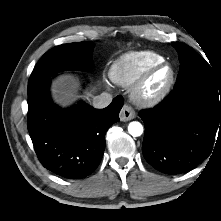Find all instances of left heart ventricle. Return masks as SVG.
Segmentation results:
<instances>
[{
	"label": "left heart ventricle",
	"instance_id": "b2bd125f",
	"mask_svg": "<svg viewBox=\"0 0 221 221\" xmlns=\"http://www.w3.org/2000/svg\"><path fill=\"white\" fill-rule=\"evenodd\" d=\"M170 71L168 68L158 70L150 79L147 86V94H154L159 91L168 81Z\"/></svg>",
	"mask_w": 221,
	"mask_h": 221
}]
</instances>
